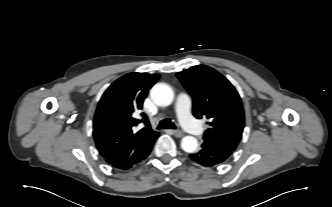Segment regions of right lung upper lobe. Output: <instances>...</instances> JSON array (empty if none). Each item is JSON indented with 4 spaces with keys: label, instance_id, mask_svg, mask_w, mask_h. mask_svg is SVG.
Wrapping results in <instances>:
<instances>
[{
    "label": "right lung upper lobe",
    "instance_id": "obj_1",
    "mask_svg": "<svg viewBox=\"0 0 332 207\" xmlns=\"http://www.w3.org/2000/svg\"><path fill=\"white\" fill-rule=\"evenodd\" d=\"M159 77V74H126L110 85L99 101L93 135L100 154L115 168L129 169L147 157L159 136L144 113L141 120L134 117ZM140 122L145 127L136 131Z\"/></svg>",
    "mask_w": 332,
    "mask_h": 207
}]
</instances>
